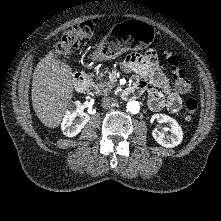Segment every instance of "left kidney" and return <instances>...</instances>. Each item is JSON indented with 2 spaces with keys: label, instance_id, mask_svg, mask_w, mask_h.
Masks as SVG:
<instances>
[{
  "label": "left kidney",
  "instance_id": "5707ae66",
  "mask_svg": "<svg viewBox=\"0 0 221 221\" xmlns=\"http://www.w3.org/2000/svg\"><path fill=\"white\" fill-rule=\"evenodd\" d=\"M152 120H157L160 123H168L170 127L168 128V130L171 133L170 135H165L164 133L160 132L157 128L153 130L152 135L157 143L166 148H172L179 145L182 142L183 131L181 126L175 119L165 114H155L152 116Z\"/></svg>",
  "mask_w": 221,
  "mask_h": 221
}]
</instances>
